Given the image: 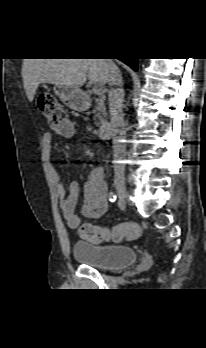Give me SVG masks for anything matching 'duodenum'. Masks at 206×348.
<instances>
[{
    "label": "duodenum",
    "mask_w": 206,
    "mask_h": 348,
    "mask_svg": "<svg viewBox=\"0 0 206 348\" xmlns=\"http://www.w3.org/2000/svg\"><path fill=\"white\" fill-rule=\"evenodd\" d=\"M113 133V126L110 123H103L99 129V136L101 138H110Z\"/></svg>",
    "instance_id": "410a0bca"
}]
</instances>
